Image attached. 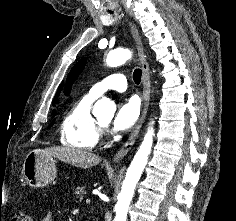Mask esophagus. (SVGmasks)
<instances>
[{
  "label": "esophagus",
  "instance_id": "34e87169",
  "mask_svg": "<svg viewBox=\"0 0 236 221\" xmlns=\"http://www.w3.org/2000/svg\"><path fill=\"white\" fill-rule=\"evenodd\" d=\"M130 30L133 35V38L135 40L139 60L142 66V86H143V107L142 112L140 115V118L130 134L128 140L125 142V144L119 149V151L115 154L113 161L114 162H120L126 154L130 151L134 143L136 142V139L138 138L139 131L144 123V120L146 118V114L149 107V100H150V94H151V81H150V72H149V65L146 60V56L144 53L143 45L141 38L138 34V31L136 30L135 26L129 22Z\"/></svg>",
  "mask_w": 236,
  "mask_h": 221
}]
</instances>
